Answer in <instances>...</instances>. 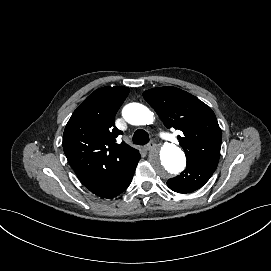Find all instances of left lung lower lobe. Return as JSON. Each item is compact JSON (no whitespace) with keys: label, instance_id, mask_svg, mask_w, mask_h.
<instances>
[{"label":"left lung lower lobe","instance_id":"left-lung-lower-lobe-1","mask_svg":"<svg viewBox=\"0 0 271 271\" xmlns=\"http://www.w3.org/2000/svg\"><path fill=\"white\" fill-rule=\"evenodd\" d=\"M209 161L202 163H187L186 169L174 178L167 181L168 187L178 193H190L201 188L216 170Z\"/></svg>","mask_w":271,"mask_h":271}]
</instances>
